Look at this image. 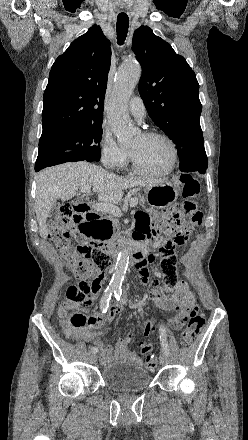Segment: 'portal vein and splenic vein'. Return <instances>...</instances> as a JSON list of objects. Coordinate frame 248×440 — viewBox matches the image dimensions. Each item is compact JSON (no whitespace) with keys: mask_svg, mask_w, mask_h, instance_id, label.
<instances>
[{"mask_svg":"<svg viewBox=\"0 0 248 440\" xmlns=\"http://www.w3.org/2000/svg\"><path fill=\"white\" fill-rule=\"evenodd\" d=\"M81 192L83 193H89L90 192V187H83L81 189ZM138 203V200L136 198H131L129 201L130 207H135ZM97 211H101V212H105V213H109L112 216L115 217H119L122 215L121 210L119 209V207L110 204V203H97L95 206Z\"/></svg>","mask_w":248,"mask_h":440,"instance_id":"1","label":"portal vein and splenic vein"}]
</instances>
